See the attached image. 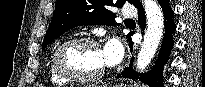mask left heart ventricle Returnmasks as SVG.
I'll list each match as a JSON object with an SVG mask.
<instances>
[{"mask_svg": "<svg viewBox=\"0 0 205 87\" xmlns=\"http://www.w3.org/2000/svg\"><path fill=\"white\" fill-rule=\"evenodd\" d=\"M60 61L65 70L78 75L95 74L105 64L103 51L88 44H76L66 48Z\"/></svg>", "mask_w": 205, "mask_h": 87, "instance_id": "b2bd125f", "label": "left heart ventricle"}]
</instances>
